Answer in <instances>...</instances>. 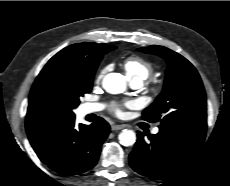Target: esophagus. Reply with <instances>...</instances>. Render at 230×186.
<instances>
[{
  "mask_svg": "<svg viewBox=\"0 0 230 186\" xmlns=\"http://www.w3.org/2000/svg\"><path fill=\"white\" fill-rule=\"evenodd\" d=\"M124 128H125L124 125H118V124H115V125H112V126H111V129H112L113 131H118V130H121V129H124Z\"/></svg>",
  "mask_w": 230,
  "mask_h": 186,
  "instance_id": "obj_1",
  "label": "esophagus"
}]
</instances>
